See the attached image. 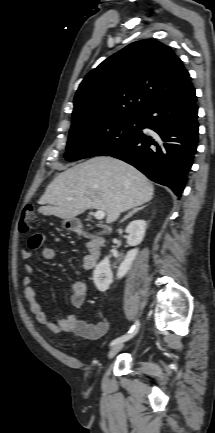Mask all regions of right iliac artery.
Listing matches in <instances>:
<instances>
[{"instance_id": "82829eb1", "label": "right iliac artery", "mask_w": 215, "mask_h": 433, "mask_svg": "<svg viewBox=\"0 0 215 433\" xmlns=\"http://www.w3.org/2000/svg\"><path fill=\"white\" fill-rule=\"evenodd\" d=\"M138 329H139V322L136 321L135 324L132 326V328L128 331L127 334L114 339L110 343V345L112 346V345H115L117 343L124 342V341L131 339L134 335H136V333L138 332Z\"/></svg>"}]
</instances>
